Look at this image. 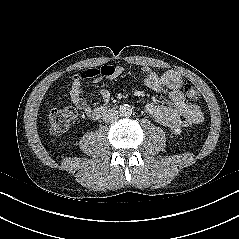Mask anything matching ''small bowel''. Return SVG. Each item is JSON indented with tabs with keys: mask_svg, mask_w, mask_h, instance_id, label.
I'll use <instances>...</instances> for the list:
<instances>
[{
	"mask_svg": "<svg viewBox=\"0 0 239 239\" xmlns=\"http://www.w3.org/2000/svg\"><path fill=\"white\" fill-rule=\"evenodd\" d=\"M144 83L153 91H168L170 106L156 103H147L145 112L161 125L168 128H185L200 124L203 113L199 106L187 104L180 89L182 78L175 72L158 74L149 67L143 68ZM124 69L121 66L105 65L99 69L81 70L70 78V99L79 109L84 110L87 116L93 115L97 109H102L110 99L106 89H99L100 103L91 105L83 95V82L92 80L100 82L103 79L114 80L121 77Z\"/></svg>",
	"mask_w": 239,
	"mask_h": 239,
	"instance_id": "obj_1",
	"label": "small bowel"
}]
</instances>
